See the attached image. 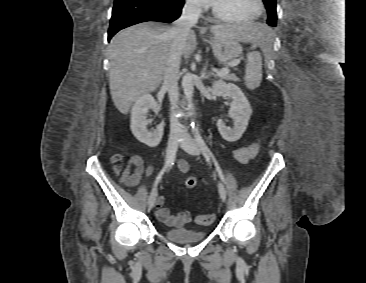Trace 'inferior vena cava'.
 Segmentation results:
<instances>
[{
	"instance_id": "inferior-vena-cava-1",
	"label": "inferior vena cava",
	"mask_w": 366,
	"mask_h": 283,
	"mask_svg": "<svg viewBox=\"0 0 366 283\" xmlns=\"http://www.w3.org/2000/svg\"><path fill=\"white\" fill-rule=\"evenodd\" d=\"M200 14L199 3L196 0H186L181 16L169 30L172 42L165 62L163 81L168 91L172 111L176 109L179 100L178 80L182 50L191 28L197 23ZM170 130L171 134H176L181 130V125L175 117L171 118Z\"/></svg>"
}]
</instances>
